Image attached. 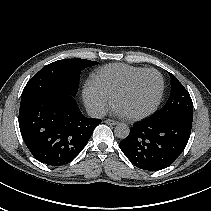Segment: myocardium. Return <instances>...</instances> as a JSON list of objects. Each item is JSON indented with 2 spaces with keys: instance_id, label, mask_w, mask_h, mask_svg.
Instances as JSON below:
<instances>
[{
  "instance_id": "1",
  "label": "myocardium",
  "mask_w": 211,
  "mask_h": 211,
  "mask_svg": "<svg viewBox=\"0 0 211 211\" xmlns=\"http://www.w3.org/2000/svg\"><path fill=\"white\" fill-rule=\"evenodd\" d=\"M150 72H154L156 74H158V76L160 77L161 80V88H160V92L159 95L155 101V103L153 104V106L151 108H149L147 111L139 113V114H134V115H126V117L130 120H140L143 118H146L148 116H150L151 114H153L157 108L159 107L163 95H164V90H165V80L164 77L162 75V73L160 71H158L157 69L154 68H148L145 69L143 71H141L140 73L136 74L135 76H133L131 79H129L114 95H113V103L116 104L118 99L123 96L124 94H126L128 91L131 90V88L134 86V84L145 74L150 73Z\"/></svg>"
}]
</instances>
